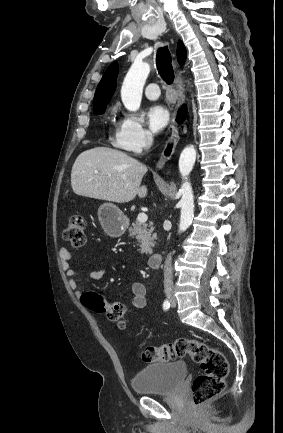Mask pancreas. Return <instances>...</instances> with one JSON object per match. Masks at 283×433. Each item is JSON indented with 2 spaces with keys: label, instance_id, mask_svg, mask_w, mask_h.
Wrapping results in <instances>:
<instances>
[{
  "label": "pancreas",
  "instance_id": "1",
  "mask_svg": "<svg viewBox=\"0 0 283 433\" xmlns=\"http://www.w3.org/2000/svg\"><path fill=\"white\" fill-rule=\"evenodd\" d=\"M150 227V229H149ZM154 229L151 227V225H144V223H132V227L129 229L130 237H135V239H138L139 249L141 255H151L152 249L151 247H155V239H156V233H153Z\"/></svg>",
  "mask_w": 283,
  "mask_h": 433
}]
</instances>
